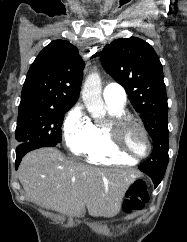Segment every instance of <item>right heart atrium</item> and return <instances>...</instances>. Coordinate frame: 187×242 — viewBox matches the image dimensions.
Segmentation results:
<instances>
[{
  "label": "right heart atrium",
  "mask_w": 187,
  "mask_h": 242,
  "mask_svg": "<svg viewBox=\"0 0 187 242\" xmlns=\"http://www.w3.org/2000/svg\"><path fill=\"white\" fill-rule=\"evenodd\" d=\"M67 148L75 155H82L96 139L95 125L79 106L67 115L63 126Z\"/></svg>",
  "instance_id": "obj_1"
}]
</instances>
